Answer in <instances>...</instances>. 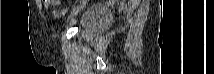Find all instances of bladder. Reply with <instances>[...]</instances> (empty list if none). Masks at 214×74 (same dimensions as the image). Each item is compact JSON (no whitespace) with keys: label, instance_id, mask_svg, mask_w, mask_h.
Returning a JSON list of instances; mask_svg holds the SVG:
<instances>
[{"label":"bladder","instance_id":"1","mask_svg":"<svg viewBox=\"0 0 214 74\" xmlns=\"http://www.w3.org/2000/svg\"><path fill=\"white\" fill-rule=\"evenodd\" d=\"M111 19L110 12L102 7L93 6L81 14L78 19V29L83 32L97 33L104 23Z\"/></svg>","mask_w":214,"mask_h":74}]
</instances>
